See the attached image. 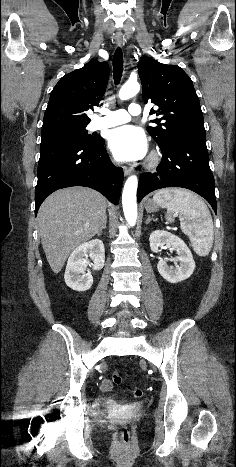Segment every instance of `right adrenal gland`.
Segmentation results:
<instances>
[{
	"instance_id": "1",
	"label": "right adrenal gland",
	"mask_w": 236,
	"mask_h": 467,
	"mask_svg": "<svg viewBox=\"0 0 236 467\" xmlns=\"http://www.w3.org/2000/svg\"><path fill=\"white\" fill-rule=\"evenodd\" d=\"M107 217L105 218L101 228L98 230L97 235L100 236L102 234L103 229H106Z\"/></svg>"
}]
</instances>
